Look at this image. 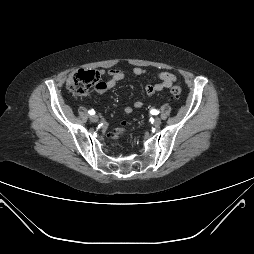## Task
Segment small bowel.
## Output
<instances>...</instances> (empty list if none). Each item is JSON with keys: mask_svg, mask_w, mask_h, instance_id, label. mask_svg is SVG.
<instances>
[{"mask_svg": "<svg viewBox=\"0 0 254 254\" xmlns=\"http://www.w3.org/2000/svg\"><path fill=\"white\" fill-rule=\"evenodd\" d=\"M145 72L146 70L142 67H135L132 70V73L136 76H141L145 74ZM99 75L102 77H107L106 81H100V86L95 88L97 93L102 94L107 90L112 89L117 85L118 82L123 80L125 77V72L121 69H112L109 71L100 70ZM155 76L158 80V83L147 85L145 87V91L149 96L154 95L155 93L160 92L165 88H169L176 80V77L173 74L164 71L156 72ZM133 105L135 108H140L143 106V102L136 100L134 101ZM132 110V107L128 106L125 108V113L130 114Z\"/></svg>", "mask_w": 254, "mask_h": 254, "instance_id": "c3829d8e", "label": "small bowel"}]
</instances>
